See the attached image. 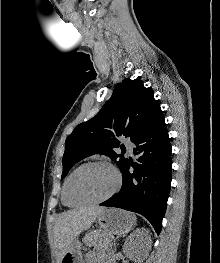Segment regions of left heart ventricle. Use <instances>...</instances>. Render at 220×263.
<instances>
[{
	"mask_svg": "<svg viewBox=\"0 0 220 263\" xmlns=\"http://www.w3.org/2000/svg\"><path fill=\"white\" fill-rule=\"evenodd\" d=\"M115 185V175L106 166L94 165L79 171L69 187L71 201L79 203L105 196Z\"/></svg>",
	"mask_w": 220,
	"mask_h": 263,
	"instance_id": "left-heart-ventricle-1",
	"label": "left heart ventricle"
}]
</instances>
